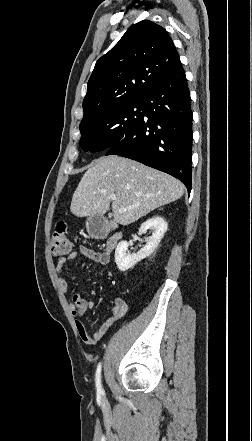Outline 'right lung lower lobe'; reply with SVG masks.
Returning <instances> with one entry per match:
<instances>
[{
  "label": "right lung lower lobe",
  "instance_id": "right-lung-lower-lobe-1",
  "mask_svg": "<svg viewBox=\"0 0 252 441\" xmlns=\"http://www.w3.org/2000/svg\"><path fill=\"white\" fill-rule=\"evenodd\" d=\"M141 101V120L106 155H120L166 172L181 180L190 192L193 116L181 62Z\"/></svg>",
  "mask_w": 252,
  "mask_h": 441
}]
</instances>
